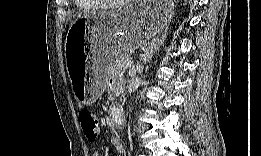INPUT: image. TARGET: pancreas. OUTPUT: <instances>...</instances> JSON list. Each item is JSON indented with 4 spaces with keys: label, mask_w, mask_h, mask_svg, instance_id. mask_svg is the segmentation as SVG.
<instances>
[{
    "label": "pancreas",
    "mask_w": 261,
    "mask_h": 156,
    "mask_svg": "<svg viewBox=\"0 0 261 156\" xmlns=\"http://www.w3.org/2000/svg\"><path fill=\"white\" fill-rule=\"evenodd\" d=\"M131 60V57L128 54H122L115 60H111L108 65H106L105 71L107 75H112L116 73H123L126 71L124 67L127 61Z\"/></svg>",
    "instance_id": "1"
}]
</instances>
